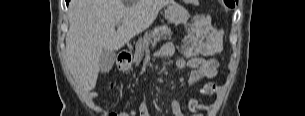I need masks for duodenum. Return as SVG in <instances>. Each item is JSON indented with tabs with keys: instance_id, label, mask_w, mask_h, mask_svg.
I'll return each mask as SVG.
<instances>
[{
	"instance_id": "duodenum-1",
	"label": "duodenum",
	"mask_w": 305,
	"mask_h": 116,
	"mask_svg": "<svg viewBox=\"0 0 305 116\" xmlns=\"http://www.w3.org/2000/svg\"><path fill=\"white\" fill-rule=\"evenodd\" d=\"M131 53L129 51L123 50L118 53L117 62L119 66L124 69L128 62L131 60Z\"/></svg>"
}]
</instances>
